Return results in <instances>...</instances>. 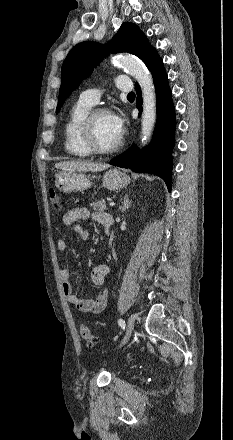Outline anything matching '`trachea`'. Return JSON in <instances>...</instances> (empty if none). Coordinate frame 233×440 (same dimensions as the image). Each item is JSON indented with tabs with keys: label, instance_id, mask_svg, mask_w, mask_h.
<instances>
[{
	"label": "trachea",
	"instance_id": "1",
	"mask_svg": "<svg viewBox=\"0 0 233 440\" xmlns=\"http://www.w3.org/2000/svg\"><path fill=\"white\" fill-rule=\"evenodd\" d=\"M135 96V93L134 92H130L129 94H128V97H134Z\"/></svg>",
	"mask_w": 233,
	"mask_h": 440
}]
</instances>
